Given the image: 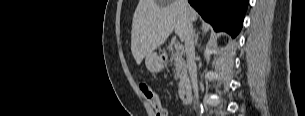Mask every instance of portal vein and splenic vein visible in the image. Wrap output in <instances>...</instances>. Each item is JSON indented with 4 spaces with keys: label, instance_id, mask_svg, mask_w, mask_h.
I'll list each match as a JSON object with an SVG mask.
<instances>
[{
    "label": "portal vein and splenic vein",
    "instance_id": "obj_1",
    "mask_svg": "<svg viewBox=\"0 0 305 116\" xmlns=\"http://www.w3.org/2000/svg\"><path fill=\"white\" fill-rule=\"evenodd\" d=\"M174 47H175V49H180L182 47V45L177 41V42H175Z\"/></svg>",
    "mask_w": 305,
    "mask_h": 116
}]
</instances>
